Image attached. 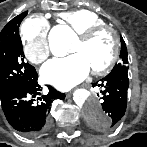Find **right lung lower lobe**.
Returning <instances> with one entry per match:
<instances>
[{
    "label": "right lung lower lobe",
    "mask_w": 147,
    "mask_h": 147,
    "mask_svg": "<svg viewBox=\"0 0 147 147\" xmlns=\"http://www.w3.org/2000/svg\"><path fill=\"white\" fill-rule=\"evenodd\" d=\"M37 74L26 84L0 91L2 109L9 124L18 132L35 137L49 128L48 114L54 99L65 98V94L48 86L47 95H41L42 88L37 83Z\"/></svg>",
    "instance_id": "98d812e1"
}]
</instances>
